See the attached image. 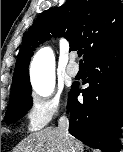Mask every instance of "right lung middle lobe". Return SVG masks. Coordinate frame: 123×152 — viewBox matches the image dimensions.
Wrapping results in <instances>:
<instances>
[{
  "mask_svg": "<svg viewBox=\"0 0 123 152\" xmlns=\"http://www.w3.org/2000/svg\"><path fill=\"white\" fill-rule=\"evenodd\" d=\"M31 85L18 89L10 96L5 122L10 124L22 118L32 106Z\"/></svg>",
  "mask_w": 123,
  "mask_h": 152,
  "instance_id": "obj_1",
  "label": "right lung middle lobe"
}]
</instances>
